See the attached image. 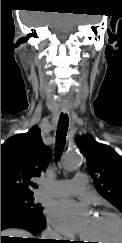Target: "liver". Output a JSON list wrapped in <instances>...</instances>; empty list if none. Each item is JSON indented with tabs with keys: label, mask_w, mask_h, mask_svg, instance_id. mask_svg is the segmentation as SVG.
Here are the masks:
<instances>
[{
	"label": "liver",
	"mask_w": 122,
	"mask_h": 243,
	"mask_svg": "<svg viewBox=\"0 0 122 243\" xmlns=\"http://www.w3.org/2000/svg\"><path fill=\"white\" fill-rule=\"evenodd\" d=\"M1 236L31 238V234L22 229H7L1 231Z\"/></svg>",
	"instance_id": "1"
}]
</instances>
